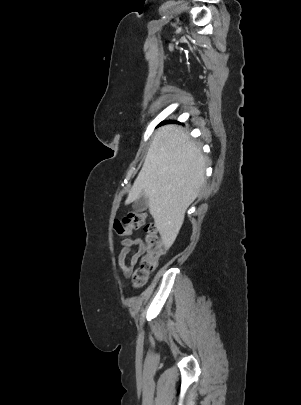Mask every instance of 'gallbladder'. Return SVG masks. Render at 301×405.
I'll list each match as a JSON object with an SVG mask.
<instances>
[{
  "label": "gallbladder",
  "mask_w": 301,
  "mask_h": 405,
  "mask_svg": "<svg viewBox=\"0 0 301 405\" xmlns=\"http://www.w3.org/2000/svg\"><path fill=\"white\" fill-rule=\"evenodd\" d=\"M133 210L136 212H143L148 208V198L145 195H141L133 202Z\"/></svg>",
  "instance_id": "bac80fb5"
}]
</instances>
